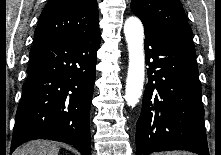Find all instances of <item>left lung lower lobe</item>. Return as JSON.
<instances>
[{"label": "left lung lower lobe", "mask_w": 221, "mask_h": 155, "mask_svg": "<svg viewBox=\"0 0 221 155\" xmlns=\"http://www.w3.org/2000/svg\"><path fill=\"white\" fill-rule=\"evenodd\" d=\"M144 29L149 76L136 125L137 155L169 150L209 155L194 45Z\"/></svg>", "instance_id": "0a47b994"}]
</instances>
